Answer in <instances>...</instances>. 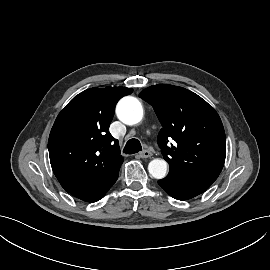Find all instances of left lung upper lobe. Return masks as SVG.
<instances>
[{"mask_svg": "<svg viewBox=\"0 0 270 270\" xmlns=\"http://www.w3.org/2000/svg\"><path fill=\"white\" fill-rule=\"evenodd\" d=\"M139 97L151 104L163 126L158 143L169 163L168 175L219 176L226 157V137L215 109L197 94L178 86L158 84ZM168 138L176 144L167 146Z\"/></svg>", "mask_w": 270, "mask_h": 270, "instance_id": "left-lung-upper-lobe-1", "label": "left lung upper lobe"}]
</instances>
